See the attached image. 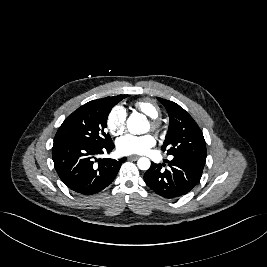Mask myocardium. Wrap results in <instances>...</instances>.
Masks as SVG:
<instances>
[{"instance_id":"1","label":"myocardium","mask_w":267,"mask_h":267,"mask_svg":"<svg viewBox=\"0 0 267 267\" xmlns=\"http://www.w3.org/2000/svg\"><path fill=\"white\" fill-rule=\"evenodd\" d=\"M150 127L154 131H159V129L161 127V122H160L159 118L151 119L150 120Z\"/></svg>"}]
</instances>
